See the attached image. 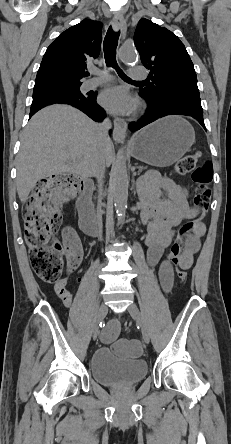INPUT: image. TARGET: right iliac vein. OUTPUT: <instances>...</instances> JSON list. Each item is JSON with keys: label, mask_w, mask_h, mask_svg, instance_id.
<instances>
[{"label": "right iliac vein", "mask_w": 231, "mask_h": 444, "mask_svg": "<svg viewBox=\"0 0 231 444\" xmlns=\"http://www.w3.org/2000/svg\"><path fill=\"white\" fill-rule=\"evenodd\" d=\"M107 312H108L107 306L105 304H102L101 307L99 308L96 320H95L94 325H93V329H92L93 340H95L97 338L98 331H99V325L103 321V319L106 316Z\"/></svg>", "instance_id": "obj_1"}]
</instances>
